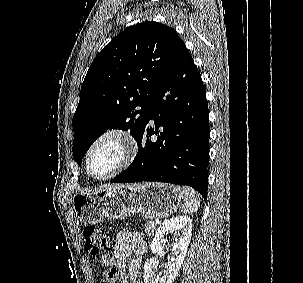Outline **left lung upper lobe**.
Returning a JSON list of instances; mask_svg holds the SVG:
<instances>
[{
	"label": "left lung upper lobe",
	"instance_id": "1",
	"mask_svg": "<svg viewBox=\"0 0 303 283\" xmlns=\"http://www.w3.org/2000/svg\"><path fill=\"white\" fill-rule=\"evenodd\" d=\"M184 48L173 28L154 21L128 27L103 48L89 67L72 120L79 165L107 129H129L138 143L150 101Z\"/></svg>",
	"mask_w": 303,
	"mask_h": 283
}]
</instances>
